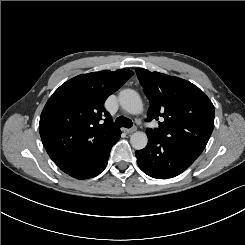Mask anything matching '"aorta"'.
<instances>
[{
    "label": "aorta",
    "mask_w": 245,
    "mask_h": 245,
    "mask_svg": "<svg viewBox=\"0 0 245 245\" xmlns=\"http://www.w3.org/2000/svg\"><path fill=\"white\" fill-rule=\"evenodd\" d=\"M121 107L130 114H140L143 111V104L139 94L132 89H124L118 96ZM148 138L146 133L137 131L130 137V144L136 150L144 149L147 146Z\"/></svg>",
    "instance_id": "aorta-1"
}]
</instances>
